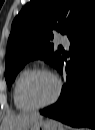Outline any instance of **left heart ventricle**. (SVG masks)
Listing matches in <instances>:
<instances>
[{
  "label": "left heart ventricle",
  "mask_w": 95,
  "mask_h": 130,
  "mask_svg": "<svg viewBox=\"0 0 95 130\" xmlns=\"http://www.w3.org/2000/svg\"><path fill=\"white\" fill-rule=\"evenodd\" d=\"M56 93L55 81L46 74L33 76L26 86V96L33 104L49 101Z\"/></svg>",
  "instance_id": "left-heart-ventricle-1"
}]
</instances>
